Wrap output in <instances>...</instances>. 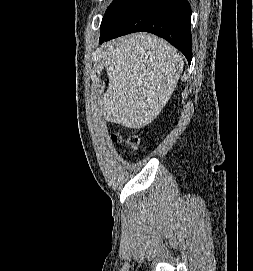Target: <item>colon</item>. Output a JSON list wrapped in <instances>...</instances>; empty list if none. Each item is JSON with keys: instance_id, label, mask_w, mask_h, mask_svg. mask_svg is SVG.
Instances as JSON below:
<instances>
[{"instance_id": "obj_1", "label": "colon", "mask_w": 253, "mask_h": 271, "mask_svg": "<svg viewBox=\"0 0 253 271\" xmlns=\"http://www.w3.org/2000/svg\"><path fill=\"white\" fill-rule=\"evenodd\" d=\"M112 142L118 144H126L133 150H136L140 145V138L138 136H129L127 138L122 137L119 134H114L111 138Z\"/></svg>"}]
</instances>
